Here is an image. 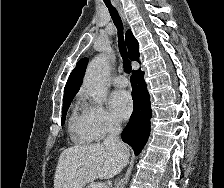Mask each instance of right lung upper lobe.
Segmentation results:
<instances>
[{"mask_svg": "<svg viewBox=\"0 0 224 188\" xmlns=\"http://www.w3.org/2000/svg\"><path fill=\"white\" fill-rule=\"evenodd\" d=\"M125 41L129 50L130 59L139 61L138 42L130 30H128L125 34ZM87 64H88V58H83L76 64V67L71 72L68 81L66 83V86L64 88L63 101L74 97L78 92L83 81Z\"/></svg>", "mask_w": 224, "mask_h": 188, "instance_id": "cb5924a9", "label": "right lung upper lobe"}]
</instances>
